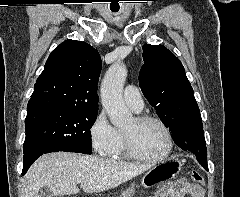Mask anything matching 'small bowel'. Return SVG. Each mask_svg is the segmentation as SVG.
<instances>
[{
    "mask_svg": "<svg viewBox=\"0 0 240 197\" xmlns=\"http://www.w3.org/2000/svg\"><path fill=\"white\" fill-rule=\"evenodd\" d=\"M166 191L165 197H203L204 191L199 185L188 182L171 184Z\"/></svg>",
    "mask_w": 240,
    "mask_h": 197,
    "instance_id": "1",
    "label": "small bowel"
}]
</instances>
